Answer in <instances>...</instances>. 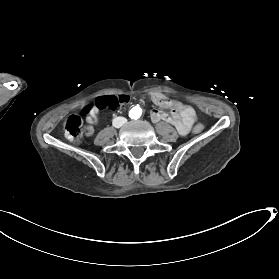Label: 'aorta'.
<instances>
[{
	"instance_id": "obj_1",
	"label": "aorta",
	"mask_w": 279,
	"mask_h": 279,
	"mask_svg": "<svg viewBox=\"0 0 279 279\" xmlns=\"http://www.w3.org/2000/svg\"><path fill=\"white\" fill-rule=\"evenodd\" d=\"M142 114V109L139 106L133 107L130 112L129 116L133 119H138Z\"/></svg>"
}]
</instances>
